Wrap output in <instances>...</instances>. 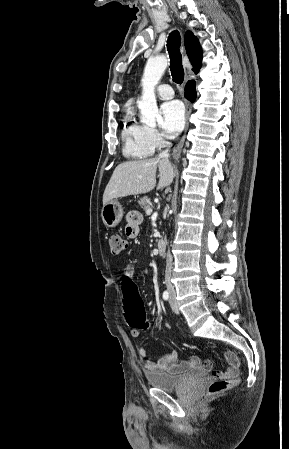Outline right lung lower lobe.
<instances>
[{"label":"right lung lower lobe","instance_id":"obj_1","mask_svg":"<svg viewBox=\"0 0 289 449\" xmlns=\"http://www.w3.org/2000/svg\"><path fill=\"white\" fill-rule=\"evenodd\" d=\"M185 97L190 100L191 102H194L196 99V90H195V81L190 80L186 84L185 87Z\"/></svg>","mask_w":289,"mask_h":449}]
</instances>
